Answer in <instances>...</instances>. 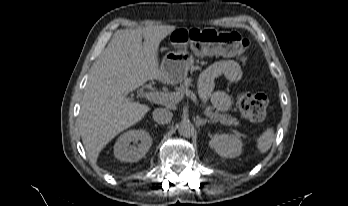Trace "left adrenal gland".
<instances>
[{"mask_svg": "<svg viewBox=\"0 0 348 206\" xmlns=\"http://www.w3.org/2000/svg\"><path fill=\"white\" fill-rule=\"evenodd\" d=\"M196 123L199 125V126H203L205 125L206 123H213L212 120H209V119H202L200 118L199 116L196 117Z\"/></svg>", "mask_w": 348, "mask_h": 206, "instance_id": "obj_1", "label": "left adrenal gland"}]
</instances>
